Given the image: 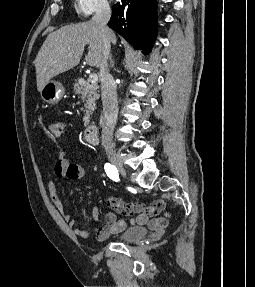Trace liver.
Masks as SVG:
<instances>
[{"mask_svg": "<svg viewBox=\"0 0 255 287\" xmlns=\"http://www.w3.org/2000/svg\"><path fill=\"white\" fill-rule=\"evenodd\" d=\"M110 42L115 46L117 42L115 34L111 36ZM87 44L89 52L85 56L86 64L99 68L103 42L97 24L94 22L70 24L49 34L34 60L38 92H41L43 86L54 76L78 66Z\"/></svg>", "mask_w": 255, "mask_h": 287, "instance_id": "liver-1", "label": "liver"}]
</instances>
